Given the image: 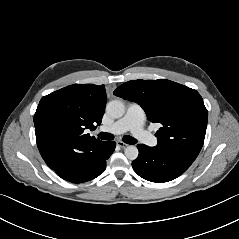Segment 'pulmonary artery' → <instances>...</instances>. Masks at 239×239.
I'll list each match as a JSON object with an SVG mask.
<instances>
[{
  "label": "pulmonary artery",
  "instance_id": "pulmonary-artery-1",
  "mask_svg": "<svg viewBox=\"0 0 239 239\" xmlns=\"http://www.w3.org/2000/svg\"><path fill=\"white\" fill-rule=\"evenodd\" d=\"M145 114L143 109L135 103L127 105L125 115L109 127H102L101 131L121 134L130 131L141 143L155 146L157 138L144 128Z\"/></svg>",
  "mask_w": 239,
  "mask_h": 239
}]
</instances>
